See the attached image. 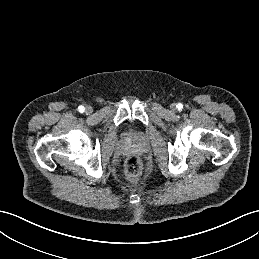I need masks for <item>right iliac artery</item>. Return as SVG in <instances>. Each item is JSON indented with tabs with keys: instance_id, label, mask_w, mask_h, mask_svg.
I'll use <instances>...</instances> for the list:
<instances>
[{
	"instance_id": "1",
	"label": "right iliac artery",
	"mask_w": 259,
	"mask_h": 259,
	"mask_svg": "<svg viewBox=\"0 0 259 259\" xmlns=\"http://www.w3.org/2000/svg\"><path fill=\"white\" fill-rule=\"evenodd\" d=\"M84 110H85L84 106L81 105V106L78 107V111H79L80 113H83Z\"/></svg>"
}]
</instances>
